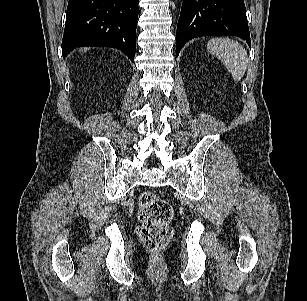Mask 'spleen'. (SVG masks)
Wrapping results in <instances>:
<instances>
[{
	"mask_svg": "<svg viewBox=\"0 0 307 301\" xmlns=\"http://www.w3.org/2000/svg\"><path fill=\"white\" fill-rule=\"evenodd\" d=\"M208 51L215 55L232 74L234 81H240L248 65L247 52L237 41L229 38H213L207 44Z\"/></svg>",
	"mask_w": 307,
	"mask_h": 301,
	"instance_id": "1",
	"label": "spleen"
}]
</instances>
